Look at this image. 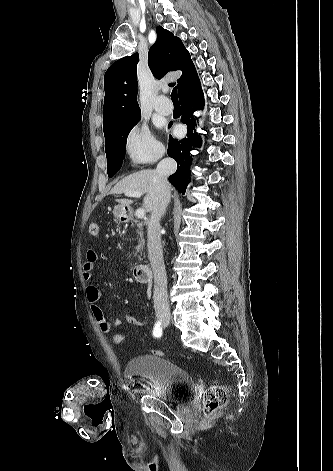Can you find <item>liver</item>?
Listing matches in <instances>:
<instances>
[{
    "label": "liver",
    "mask_w": 333,
    "mask_h": 471,
    "mask_svg": "<svg viewBox=\"0 0 333 471\" xmlns=\"http://www.w3.org/2000/svg\"><path fill=\"white\" fill-rule=\"evenodd\" d=\"M132 191L146 194L143 201V207L147 212H152L159 194L157 172L152 169H146L133 173L119 181L112 188L110 193L125 194ZM118 202L123 206H129L133 201L128 199H119Z\"/></svg>",
    "instance_id": "obj_1"
}]
</instances>
